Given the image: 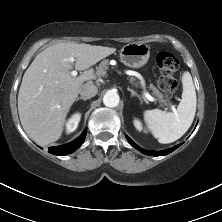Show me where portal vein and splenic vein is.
<instances>
[{
	"instance_id": "18ae733b",
	"label": "portal vein and splenic vein",
	"mask_w": 222,
	"mask_h": 222,
	"mask_svg": "<svg viewBox=\"0 0 222 222\" xmlns=\"http://www.w3.org/2000/svg\"><path fill=\"white\" fill-rule=\"evenodd\" d=\"M69 61L74 62L75 59L73 57H71L69 59ZM70 74H71V76L75 77V76H77V71L73 70ZM144 95L149 101H151V102L155 101V98L152 97L148 92H145ZM171 108L173 111H176V108L174 106H172Z\"/></svg>"
}]
</instances>
